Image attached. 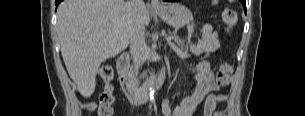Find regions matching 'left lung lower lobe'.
<instances>
[{
	"instance_id": "left-lung-lower-lobe-1",
	"label": "left lung lower lobe",
	"mask_w": 305,
	"mask_h": 116,
	"mask_svg": "<svg viewBox=\"0 0 305 116\" xmlns=\"http://www.w3.org/2000/svg\"><path fill=\"white\" fill-rule=\"evenodd\" d=\"M165 1H167V0H165ZM240 1L243 4L244 10L246 12V0H240Z\"/></svg>"
}]
</instances>
